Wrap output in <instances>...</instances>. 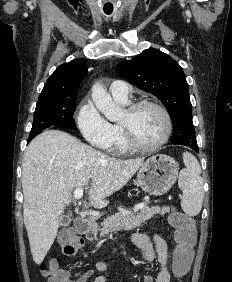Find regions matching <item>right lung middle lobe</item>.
<instances>
[{
    "instance_id": "1",
    "label": "right lung middle lobe",
    "mask_w": 232,
    "mask_h": 282,
    "mask_svg": "<svg viewBox=\"0 0 232 282\" xmlns=\"http://www.w3.org/2000/svg\"><path fill=\"white\" fill-rule=\"evenodd\" d=\"M77 94L40 95L28 141L46 128L65 127L76 129L73 114L76 109Z\"/></svg>"
}]
</instances>
